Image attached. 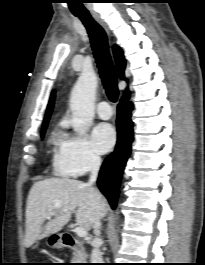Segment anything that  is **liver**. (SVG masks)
<instances>
[{
    "label": "liver",
    "mask_w": 205,
    "mask_h": 265,
    "mask_svg": "<svg viewBox=\"0 0 205 265\" xmlns=\"http://www.w3.org/2000/svg\"><path fill=\"white\" fill-rule=\"evenodd\" d=\"M106 210V200L99 190L81 181L50 178L35 182L27 198L24 246L29 248L37 240L59 232L73 213L77 224L89 230ZM51 214L54 218L48 219Z\"/></svg>",
    "instance_id": "6515ba94"
}]
</instances>
